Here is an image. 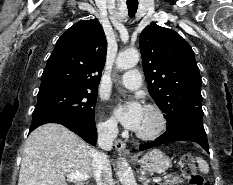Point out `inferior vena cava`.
Returning <instances> with one entry per match:
<instances>
[{"instance_id":"obj_1","label":"inferior vena cava","mask_w":233,"mask_h":185,"mask_svg":"<svg viewBox=\"0 0 233 185\" xmlns=\"http://www.w3.org/2000/svg\"><path fill=\"white\" fill-rule=\"evenodd\" d=\"M118 128L116 123L98 127V146L101 152H94L92 159L93 175L97 185H113L111 165L105 151H110L113 141L117 137Z\"/></svg>"}]
</instances>
